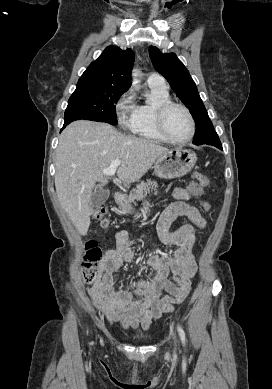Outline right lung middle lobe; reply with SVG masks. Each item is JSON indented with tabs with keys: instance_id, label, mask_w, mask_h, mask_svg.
Instances as JSON below:
<instances>
[{
	"instance_id": "right-lung-middle-lobe-1",
	"label": "right lung middle lobe",
	"mask_w": 272,
	"mask_h": 389,
	"mask_svg": "<svg viewBox=\"0 0 272 389\" xmlns=\"http://www.w3.org/2000/svg\"><path fill=\"white\" fill-rule=\"evenodd\" d=\"M124 92L126 90L77 84L68 101L64 119H86L116 125V103Z\"/></svg>"
}]
</instances>
